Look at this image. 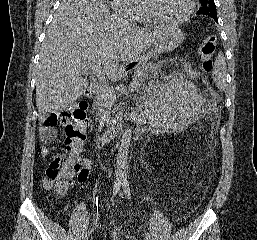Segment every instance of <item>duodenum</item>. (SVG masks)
I'll return each instance as SVG.
<instances>
[{
  "mask_svg": "<svg viewBox=\"0 0 257 240\" xmlns=\"http://www.w3.org/2000/svg\"><path fill=\"white\" fill-rule=\"evenodd\" d=\"M96 89L94 86H89L85 90V96L87 98H92L95 95ZM123 114L115 116L107 125L104 132L98 137L97 144L100 147H104L110 144L115 137L118 135L120 130L121 121L123 119Z\"/></svg>",
  "mask_w": 257,
  "mask_h": 240,
  "instance_id": "obj_1",
  "label": "duodenum"
}]
</instances>
